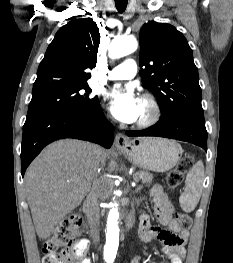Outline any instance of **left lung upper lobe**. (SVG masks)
Listing matches in <instances>:
<instances>
[{"mask_svg": "<svg viewBox=\"0 0 233 263\" xmlns=\"http://www.w3.org/2000/svg\"><path fill=\"white\" fill-rule=\"evenodd\" d=\"M139 39V74L159 102L161 119L203 115L198 70L183 34L170 24L151 21L143 25Z\"/></svg>", "mask_w": 233, "mask_h": 263, "instance_id": "obj_1", "label": "left lung upper lobe"}]
</instances>
